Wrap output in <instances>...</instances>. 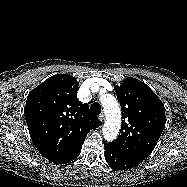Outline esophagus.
Returning a JSON list of instances; mask_svg holds the SVG:
<instances>
[{"label":"esophagus","mask_w":187,"mask_h":187,"mask_svg":"<svg viewBox=\"0 0 187 187\" xmlns=\"http://www.w3.org/2000/svg\"><path fill=\"white\" fill-rule=\"evenodd\" d=\"M99 120H100L101 122H104V120H105V115H104V113H101V114L99 115Z\"/></svg>","instance_id":"1"}]
</instances>
